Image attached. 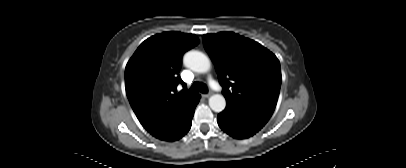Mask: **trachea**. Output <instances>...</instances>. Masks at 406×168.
Returning a JSON list of instances; mask_svg holds the SVG:
<instances>
[{
	"label": "trachea",
	"instance_id": "3493384b",
	"mask_svg": "<svg viewBox=\"0 0 406 168\" xmlns=\"http://www.w3.org/2000/svg\"><path fill=\"white\" fill-rule=\"evenodd\" d=\"M192 92H201V93H207L208 88L206 84L200 83V82H194L190 88Z\"/></svg>",
	"mask_w": 406,
	"mask_h": 168
}]
</instances>
